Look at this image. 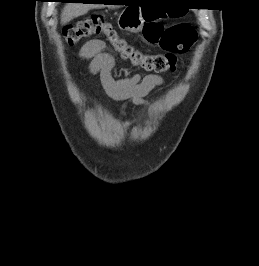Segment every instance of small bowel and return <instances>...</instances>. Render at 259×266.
I'll return each instance as SVG.
<instances>
[{
	"label": "small bowel",
	"mask_w": 259,
	"mask_h": 266,
	"mask_svg": "<svg viewBox=\"0 0 259 266\" xmlns=\"http://www.w3.org/2000/svg\"><path fill=\"white\" fill-rule=\"evenodd\" d=\"M104 49V42L91 40L83 46L81 57L89 62L91 73L99 76L106 94L111 99L122 103L121 114L126 115L128 104L147 105L149 102L148 95L155 87L163 83V78L159 75L150 74L144 77L133 75L116 80L113 76L115 60Z\"/></svg>",
	"instance_id": "c3829d8e"
}]
</instances>
